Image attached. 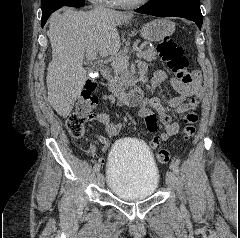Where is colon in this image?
<instances>
[{
    "mask_svg": "<svg viewBox=\"0 0 240 238\" xmlns=\"http://www.w3.org/2000/svg\"><path fill=\"white\" fill-rule=\"evenodd\" d=\"M157 52L167 63L168 68L176 75V79L184 85H190L195 80L194 72L188 70V60L182 47L170 38H165L157 45ZM96 83L88 81L77 103L76 109L66 120V127L71 136L81 138L86 133V122L89 112L97 103L95 95ZM195 134L193 124H186L183 130V137L189 140ZM171 154L166 149H161L157 153V160L160 164H167Z\"/></svg>",
    "mask_w": 240,
    "mask_h": 238,
    "instance_id": "5ec220e1",
    "label": "colon"
}]
</instances>
